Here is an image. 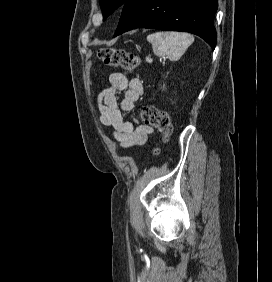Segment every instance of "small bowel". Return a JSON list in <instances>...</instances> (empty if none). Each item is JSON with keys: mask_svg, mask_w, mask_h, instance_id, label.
Masks as SVG:
<instances>
[{"mask_svg": "<svg viewBox=\"0 0 272 282\" xmlns=\"http://www.w3.org/2000/svg\"><path fill=\"white\" fill-rule=\"evenodd\" d=\"M121 91L124 96L119 102L117 93ZM142 93L143 85L139 78H129L124 72H114L108 76L97 98L100 123L110 127L114 138L125 148L143 144L153 130L151 126L140 125L134 117L124 121V113L134 108Z\"/></svg>", "mask_w": 272, "mask_h": 282, "instance_id": "small-bowel-1", "label": "small bowel"}]
</instances>
